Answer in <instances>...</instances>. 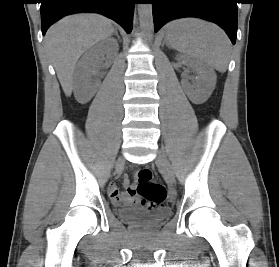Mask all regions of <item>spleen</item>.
Segmentation results:
<instances>
[{
  "mask_svg": "<svg viewBox=\"0 0 279 267\" xmlns=\"http://www.w3.org/2000/svg\"><path fill=\"white\" fill-rule=\"evenodd\" d=\"M170 47L198 59L220 72L228 67L230 41L224 31L213 23L197 18H183L167 26Z\"/></svg>",
  "mask_w": 279,
  "mask_h": 267,
  "instance_id": "3e777b00",
  "label": "spleen"
}]
</instances>
